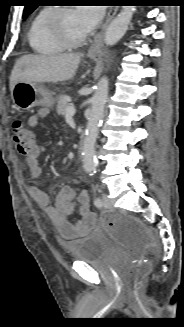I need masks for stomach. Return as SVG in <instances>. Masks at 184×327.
<instances>
[{
	"label": "stomach",
	"instance_id": "1",
	"mask_svg": "<svg viewBox=\"0 0 184 327\" xmlns=\"http://www.w3.org/2000/svg\"><path fill=\"white\" fill-rule=\"evenodd\" d=\"M96 59V55H90ZM16 109L29 110L36 106L51 108L55 104V98L40 83L17 82L11 93Z\"/></svg>",
	"mask_w": 184,
	"mask_h": 327
}]
</instances>
